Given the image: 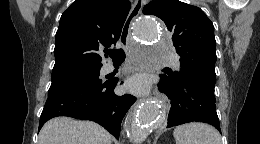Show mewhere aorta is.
Listing matches in <instances>:
<instances>
[{"mask_svg": "<svg viewBox=\"0 0 260 144\" xmlns=\"http://www.w3.org/2000/svg\"><path fill=\"white\" fill-rule=\"evenodd\" d=\"M137 38L153 48L139 51V57L144 62L159 61L169 46V41L163 37L157 22L152 17H143L135 25ZM164 122L161 104L156 100L138 103L127 118V129L133 144H142L151 130Z\"/></svg>", "mask_w": 260, "mask_h": 144, "instance_id": "obj_1", "label": "aorta"}]
</instances>
